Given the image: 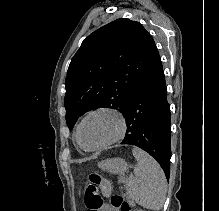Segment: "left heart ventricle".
<instances>
[{"label": "left heart ventricle", "instance_id": "b2bd125f", "mask_svg": "<svg viewBox=\"0 0 219 211\" xmlns=\"http://www.w3.org/2000/svg\"><path fill=\"white\" fill-rule=\"evenodd\" d=\"M118 130L117 118L109 113H98L88 117L81 128V141L87 148L101 145L113 137Z\"/></svg>", "mask_w": 219, "mask_h": 211}]
</instances>
